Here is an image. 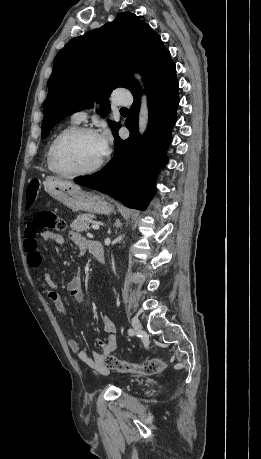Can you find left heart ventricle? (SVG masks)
<instances>
[{"label": "left heart ventricle", "instance_id": "1", "mask_svg": "<svg viewBox=\"0 0 261 459\" xmlns=\"http://www.w3.org/2000/svg\"><path fill=\"white\" fill-rule=\"evenodd\" d=\"M104 155L98 136L78 135L65 140L57 153V164L65 171H80L95 165Z\"/></svg>", "mask_w": 261, "mask_h": 459}]
</instances>
